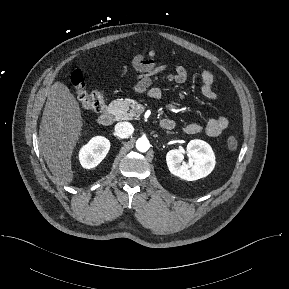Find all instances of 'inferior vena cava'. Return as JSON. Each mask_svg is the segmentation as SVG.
Listing matches in <instances>:
<instances>
[{
	"instance_id": "obj_1",
	"label": "inferior vena cava",
	"mask_w": 289,
	"mask_h": 289,
	"mask_svg": "<svg viewBox=\"0 0 289 289\" xmlns=\"http://www.w3.org/2000/svg\"><path fill=\"white\" fill-rule=\"evenodd\" d=\"M133 131L134 128L129 122H119L115 125V134L119 138H127L133 133Z\"/></svg>"
}]
</instances>
